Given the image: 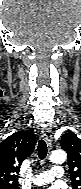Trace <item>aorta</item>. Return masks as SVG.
Returning a JSON list of instances; mask_svg holds the SVG:
<instances>
[{
	"mask_svg": "<svg viewBox=\"0 0 81 189\" xmlns=\"http://www.w3.org/2000/svg\"><path fill=\"white\" fill-rule=\"evenodd\" d=\"M66 158V152L63 150H55L50 155V161L56 164L65 162Z\"/></svg>",
	"mask_w": 81,
	"mask_h": 189,
	"instance_id": "1",
	"label": "aorta"
}]
</instances>
